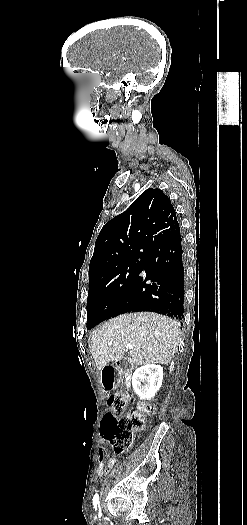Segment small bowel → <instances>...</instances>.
I'll return each mask as SVG.
<instances>
[{
	"label": "small bowel",
	"mask_w": 247,
	"mask_h": 525,
	"mask_svg": "<svg viewBox=\"0 0 247 525\" xmlns=\"http://www.w3.org/2000/svg\"><path fill=\"white\" fill-rule=\"evenodd\" d=\"M99 466L97 469V475L99 477L106 476L115 465L117 459L114 456H110L107 452L106 441L102 439L99 443Z\"/></svg>",
	"instance_id": "c3829d8e"
}]
</instances>
